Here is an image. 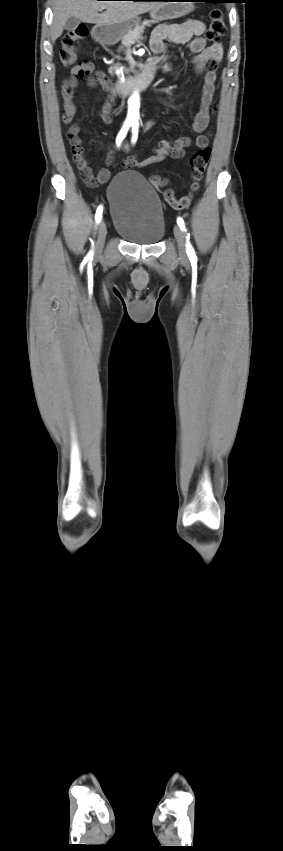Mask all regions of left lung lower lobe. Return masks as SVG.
<instances>
[{
	"instance_id": "obj_1",
	"label": "left lung lower lobe",
	"mask_w": 283,
	"mask_h": 851,
	"mask_svg": "<svg viewBox=\"0 0 283 851\" xmlns=\"http://www.w3.org/2000/svg\"><path fill=\"white\" fill-rule=\"evenodd\" d=\"M159 1H163V0H159ZM199 1H201V2H212V3L221 2V0H199Z\"/></svg>"
}]
</instances>
